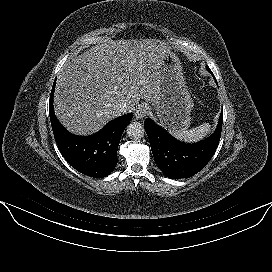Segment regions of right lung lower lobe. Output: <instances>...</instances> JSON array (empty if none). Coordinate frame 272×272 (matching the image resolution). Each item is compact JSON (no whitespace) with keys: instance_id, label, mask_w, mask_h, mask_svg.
I'll use <instances>...</instances> for the list:
<instances>
[{"instance_id":"1","label":"right lung lower lobe","mask_w":272,"mask_h":272,"mask_svg":"<svg viewBox=\"0 0 272 272\" xmlns=\"http://www.w3.org/2000/svg\"><path fill=\"white\" fill-rule=\"evenodd\" d=\"M55 81L49 101V115L55 141L66 161L77 171L95 178L110 174L117 164V149L133 114L123 115L109 122L91 136L69 133L58 121L53 109Z\"/></svg>"}]
</instances>
